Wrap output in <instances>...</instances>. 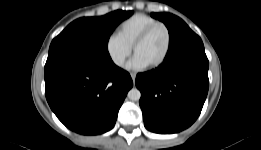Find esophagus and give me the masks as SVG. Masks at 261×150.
<instances>
[{
  "label": "esophagus",
  "mask_w": 261,
  "mask_h": 150,
  "mask_svg": "<svg viewBox=\"0 0 261 150\" xmlns=\"http://www.w3.org/2000/svg\"><path fill=\"white\" fill-rule=\"evenodd\" d=\"M130 75H131V78H132V80H133V83H135L136 74H135V73H131Z\"/></svg>",
  "instance_id": "esophagus-1"
}]
</instances>
